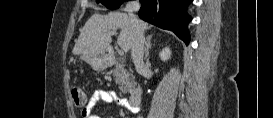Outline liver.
Instances as JSON below:
<instances>
[{
    "label": "liver",
    "mask_w": 273,
    "mask_h": 118,
    "mask_svg": "<svg viewBox=\"0 0 273 118\" xmlns=\"http://www.w3.org/2000/svg\"><path fill=\"white\" fill-rule=\"evenodd\" d=\"M143 33L148 24L139 20ZM121 29L117 43L125 52L131 49L135 35V27L126 13L110 12L107 15L93 14L85 23L72 53L86 56L93 53H103L110 48L112 31Z\"/></svg>",
    "instance_id": "6515ba94"
}]
</instances>
